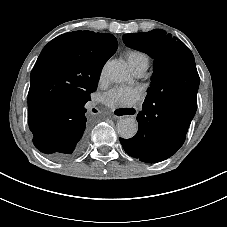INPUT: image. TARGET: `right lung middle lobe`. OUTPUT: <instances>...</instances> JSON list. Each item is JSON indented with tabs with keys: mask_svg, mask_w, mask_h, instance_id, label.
Wrapping results in <instances>:
<instances>
[{
	"mask_svg": "<svg viewBox=\"0 0 227 227\" xmlns=\"http://www.w3.org/2000/svg\"><path fill=\"white\" fill-rule=\"evenodd\" d=\"M98 79H99V77L96 79V85L98 84Z\"/></svg>",
	"mask_w": 227,
	"mask_h": 227,
	"instance_id": "right-lung-middle-lobe-1",
	"label": "right lung middle lobe"
}]
</instances>
